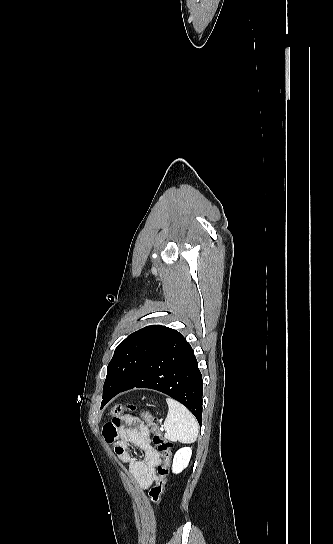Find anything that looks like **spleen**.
Returning a JSON list of instances; mask_svg holds the SVG:
<instances>
[{
  "label": "spleen",
  "mask_w": 333,
  "mask_h": 544,
  "mask_svg": "<svg viewBox=\"0 0 333 544\" xmlns=\"http://www.w3.org/2000/svg\"><path fill=\"white\" fill-rule=\"evenodd\" d=\"M166 401L169 410L163 424L164 437L169 441L194 442L198 436V423L195 417L176 400L167 398Z\"/></svg>",
  "instance_id": "spleen-1"
}]
</instances>
